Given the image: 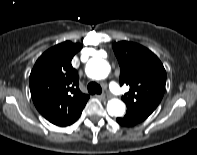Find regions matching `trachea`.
I'll use <instances>...</instances> for the list:
<instances>
[{
	"label": "trachea",
	"instance_id": "trachea-1",
	"mask_svg": "<svg viewBox=\"0 0 197 155\" xmlns=\"http://www.w3.org/2000/svg\"><path fill=\"white\" fill-rule=\"evenodd\" d=\"M87 89L90 94H101L102 93L101 86L95 82H90L87 86Z\"/></svg>",
	"mask_w": 197,
	"mask_h": 155
}]
</instances>
